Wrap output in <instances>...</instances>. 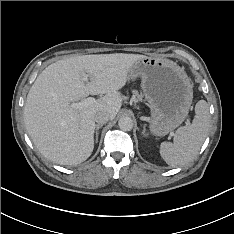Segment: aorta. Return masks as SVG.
<instances>
[{"label": "aorta", "instance_id": "1", "mask_svg": "<svg viewBox=\"0 0 234 234\" xmlns=\"http://www.w3.org/2000/svg\"><path fill=\"white\" fill-rule=\"evenodd\" d=\"M118 125L123 131H130L133 128V120L128 116H123L119 119Z\"/></svg>", "mask_w": 234, "mask_h": 234}]
</instances>
